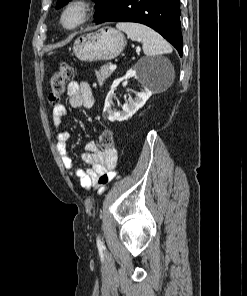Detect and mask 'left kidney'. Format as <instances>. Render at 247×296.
Instances as JSON below:
<instances>
[{"instance_id": "1", "label": "left kidney", "mask_w": 247, "mask_h": 296, "mask_svg": "<svg viewBox=\"0 0 247 296\" xmlns=\"http://www.w3.org/2000/svg\"><path fill=\"white\" fill-rule=\"evenodd\" d=\"M164 62V65L162 64ZM169 63L164 59H141L133 69H130L123 78L117 79L113 82L111 90L105 99L103 115L109 121H124L132 117L146 101L152 96L153 91L151 87L154 79L163 70V67L168 68ZM136 78L144 86V90L136 94L135 99L129 98L128 102L123 105L122 111H114L111 106L114 97V91L123 80L129 78Z\"/></svg>"}]
</instances>
